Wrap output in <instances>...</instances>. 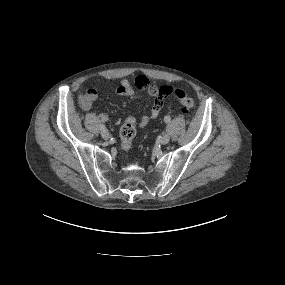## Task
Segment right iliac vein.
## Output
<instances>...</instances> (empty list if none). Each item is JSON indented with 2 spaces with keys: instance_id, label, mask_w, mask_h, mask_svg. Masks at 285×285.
Returning a JSON list of instances; mask_svg holds the SVG:
<instances>
[{
  "instance_id": "63e3f726",
  "label": "right iliac vein",
  "mask_w": 285,
  "mask_h": 285,
  "mask_svg": "<svg viewBox=\"0 0 285 285\" xmlns=\"http://www.w3.org/2000/svg\"><path fill=\"white\" fill-rule=\"evenodd\" d=\"M101 136H102V138L105 139V140H108V139L111 138V135H110V133H109L107 130H103V131L101 132Z\"/></svg>"
}]
</instances>
